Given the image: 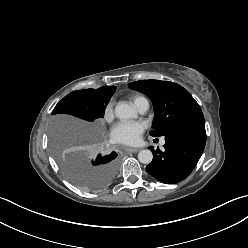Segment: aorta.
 Returning a JSON list of instances; mask_svg holds the SVG:
<instances>
[{"instance_id":"1","label":"aorta","mask_w":248,"mask_h":248,"mask_svg":"<svg viewBox=\"0 0 248 248\" xmlns=\"http://www.w3.org/2000/svg\"><path fill=\"white\" fill-rule=\"evenodd\" d=\"M115 115L122 120L135 118L137 116L136 111L126 102H120L115 107ZM153 159V154L150 150H141L138 153V160L142 164H149Z\"/></svg>"}]
</instances>
